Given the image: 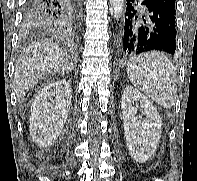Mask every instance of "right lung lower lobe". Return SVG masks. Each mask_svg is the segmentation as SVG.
Wrapping results in <instances>:
<instances>
[{
    "mask_svg": "<svg viewBox=\"0 0 197 181\" xmlns=\"http://www.w3.org/2000/svg\"><path fill=\"white\" fill-rule=\"evenodd\" d=\"M81 0H27L24 23L46 27L74 40L81 20Z\"/></svg>",
    "mask_w": 197,
    "mask_h": 181,
    "instance_id": "obj_1",
    "label": "right lung lower lobe"
}]
</instances>
